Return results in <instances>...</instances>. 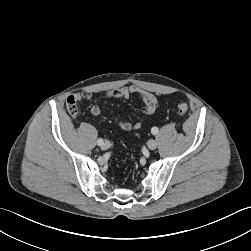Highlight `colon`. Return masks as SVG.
<instances>
[{
	"label": "colon",
	"mask_w": 251,
	"mask_h": 251,
	"mask_svg": "<svg viewBox=\"0 0 251 251\" xmlns=\"http://www.w3.org/2000/svg\"><path fill=\"white\" fill-rule=\"evenodd\" d=\"M188 111V106L185 103L178 104V112L182 115L186 114Z\"/></svg>",
	"instance_id": "obj_1"
}]
</instances>
